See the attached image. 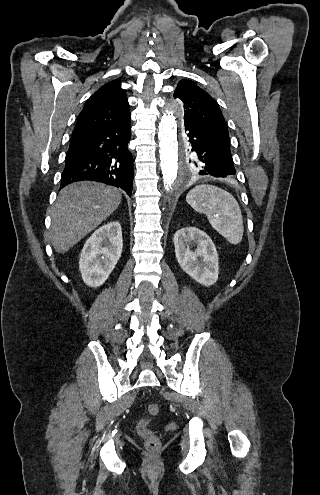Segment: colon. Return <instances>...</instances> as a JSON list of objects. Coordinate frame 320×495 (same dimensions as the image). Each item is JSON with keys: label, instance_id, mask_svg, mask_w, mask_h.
<instances>
[{"label": "colon", "instance_id": "5ec220e1", "mask_svg": "<svg viewBox=\"0 0 320 495\" xmlns=\"http://www.w3.org/2000/svg\"><path fill=\"white\" fill-rule=\"evenodd\" d=\"M159 411L160 408L157 404H149L147 406L148 418L140 420L137 425L139 435L144 439L146 447L150 450H155L160 446V439L149 429L152 418L156 417Z\"/></svg>", "mask_w": 320, "mask_h": 495}]
</instances>
